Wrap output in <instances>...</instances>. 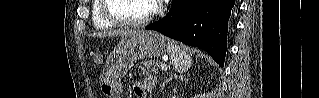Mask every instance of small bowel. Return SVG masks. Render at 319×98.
Returning a JSON list of instances; mask_svg holds the SVG:
<instances>
[{"mask_svg":"<svg viewBox=\"0 0 319 98\" xmlns=\"http://www.w3.org/2000/svg\"><path fill=\"white\" fill-rule=\"evenodd\" d=\"M155 85V79L152 76L146 77L143 81L134 84V94L138 98H145L148 91Z\"/></svg>","mask_w":319,"mask_h":98,"instance_id":"c3829d8e","label":"small bowel"}]
</instances>
